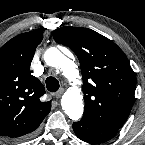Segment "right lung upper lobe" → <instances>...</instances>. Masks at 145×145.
Returning <instances> with one entry per match:
<instances>
[{
  "label": "right lung upper lobe",
  "instance_id": "obj_1",
  "mask_svg": "<svg viewBox=\"0 0 145 145\" xmlns=\"http://www.w3.org/2000/svg\"><path fill=\"white\" fill-rule=\"evenodd\" d=\"M43 39L39 29L20 34L0 48V135L18 138L35 131L50 112L42 102L41 82L30 74L36 47Z\"/></svg>",
  "mask_w": 145,
  "mask_h": 145
}]
</instances>
